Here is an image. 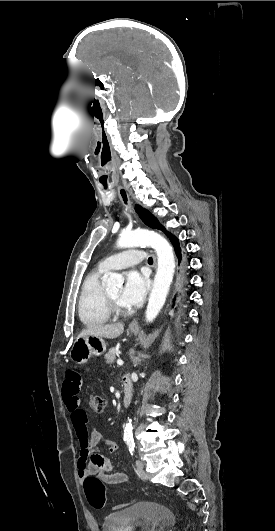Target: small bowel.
Masks as SVG:
<instances>
[{
	"label": "small bowel",
	"instance_id": "obj_1",
	"mask_svg": "<svg viewBox=\"0 0 275 531\" xmlns=\"http://www.w3.org/2000/svg\"><path fill=\"white\" fill-rule=\"evenodd\" d=\"M67 380L62 387L63 398L67 409L70 412L71 426L74 434L79 439L81 450L77 456V476L84 479L86 471H95L99 479L106 483L122 484L128 480L127 474L114 471V466L109 458L103 455L100 450L103 446L109 453H114L118 449L115 441L105 438L103 434L94 430L88 437V417L84 409L80 407L78 394L81 392L80 375L74 367L65 370ZM85 438L86 443L81 444ZM118 505L117 507H121Z\"/></svg>",
	"mask_w": 275,
	"mask_h": 531
}]
</instances>
